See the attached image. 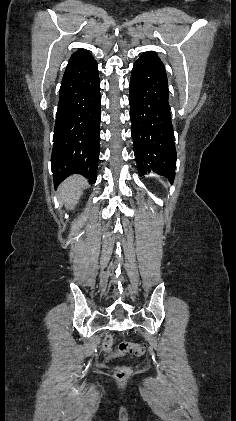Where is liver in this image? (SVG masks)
I'll list each match as a JSON object with an SVG mask.
<instances>
[{
  "label": "liver",
  "instance_id": "1",
  "mask_svg": "<svg viewBox=\"0 0 236 421\" xmlns=\"http://www.w3.org/2000/svg\"><path fill=\"white\" fill-rule=\"evenodd\" d=\"M87 184L86 178L81 176V174H74V176H69L64 182H61L59 186V196L66 208H70V211H72V208L77 204L79 196H81L82 190Z\"/></svg>",
  "mask_w": 236,
  "mask_h": 421
}]
</instances>
